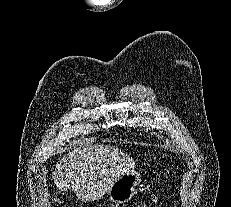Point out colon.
Segmentation results:
<instances>
[{"instance_id":"1","label":"colon","mask_w":231,"mask_h":207,"mask_svg":"<svg viewBox=\"0 0 231 207\" xmlns=\"http://www.w3.org/2000/svg\"><path fill=\"white\" fill-rule=\"evenodd\" d=\"M51 207H64L63 203L59 200H55L51 203ZM141 207H149L147 205L141 206Z\"/></svg>"}]
</instances>
